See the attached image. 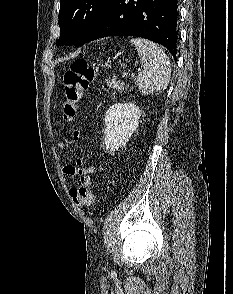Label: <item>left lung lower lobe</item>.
Masks as SVG:
<instances>
[{"mask_svg": "<svg viewBox=\"0 0 233 294\" xmlns=\"http://www.w3.org/2000/svg\"><path fill=\"white\" fill-rule=\"evenodd\" d=\"M177 0H112L85 43L107 36H138L176 58Z\"/></svg>", "mask_w": 233, "mask_h": 294, "instance_id": "0a47b994", "label": "left lung lower lobe"}]
</instances>
